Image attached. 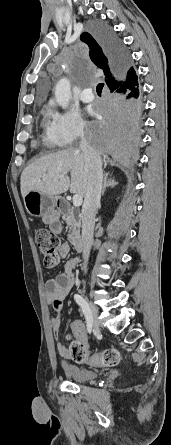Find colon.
<instances>
[{"instance_id":"colon-1","label":"colon","mask_w":171,"mask_h":445,"mask_svg":"<svg viewBox=\"0 0 171 445\" xmlns=\"http://www.w3.org/2000/svg\"><path fill=\"white\" fill-rule=\"evenodd\" d=\"M36 242L43 255V265L53 268L59 265L61 256L59 253L60 239L50 230L37 229L35 231ZM72 360L76 362L89 361L93 365L100 367H113L120 362V353L114 348H107L101 352L90 355L88 348L80 342H73L70 345Z\"/></svg>"}]
</instances>
